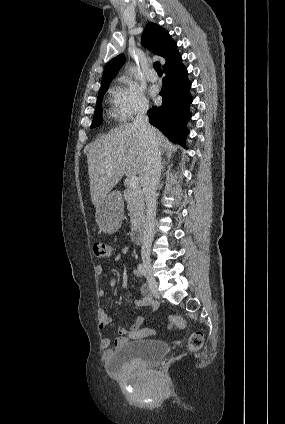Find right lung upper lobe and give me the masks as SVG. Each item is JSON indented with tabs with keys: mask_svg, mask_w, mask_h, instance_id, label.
Masks as SVG:
<instances>
[{
	"mask_svg": "<svg viewBox=\"0 0 285 424\" xmlns=\"http://www.w3.org/2000/svg\"><path fill=\"white\" fill-rule=\"evenodd\" d=\"M142 42L156 55L162 56L165 59L166 62L163 65V69L181 59L177 51L176 42L165 29L157 24L150 22L146 25L142 35ZM124 60L125 56L120 54L108 62L103 72L101 87L109 86L119 68L123 65Z\"/></svg>",
	"mask_w": 285,
	"mask_h": 424,
	"instance_id": "1",
	"label": "right lung upper lobe"
}]
</instances>
